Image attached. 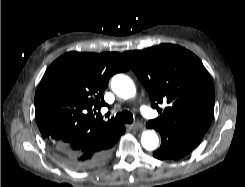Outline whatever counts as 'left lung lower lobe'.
Listing matches in <instances>:
<instances>
[{
    "label": "left lung lower lobe",
    "instance_id": "obj_1",
    "mask_svg": "<svg viewBox=\"0 0 245 187\" xmlns=\"http://www.w3.org/2000/svg\"><path fill=\"white\" fill-rule=\"evenodd\" d=\"M148 128L159 131L162 145L153 152L159 160H179L189 154L200 141L203 132L195 130H168L164 127L147 124Z\"/></svg>",
    "mask_w": 245,
    "mask_h": 187
}]
</instances>
